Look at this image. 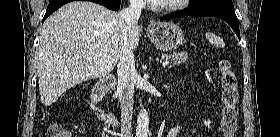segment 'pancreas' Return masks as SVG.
Here are the masks:
<instances>
[{"label":"pancreas","mask_w":280,"mask_h":137,"mask_svg":"<svg viewBox=\"0 0 280 137\" xmlns=\"http://www.w3.org/2000/svg\"><path fill=\"white\" fill-rule=\"evenodd\" d=\"M162 59L164 60H171V63L169 67H173L174 65H179L182 62H185L187 60V53L180 52V53H174L172 55H162Z\"/></svg>","instance_id":"pancreas-1"}]
</instances>
